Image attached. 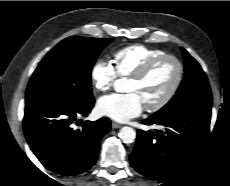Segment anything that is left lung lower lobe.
<instances>
[{"mask_svg": "<svg viewBox=\"0 0 230 186\" xmlns=\"http://www.w3.org/2000/svg\"><path fill=\"white\" fill-rule=\"evenodd\" d=\"M211 106H193L168 114H153L143 121L164 131L138 130L130 155L132 167L152 179L168 180L204 145L209 134Z\"/></svg>", "mask_w": 230, "mask_h": 186, "instance_id": "0a47b994", "label": "left lung lower lobe"}]
</instances>
